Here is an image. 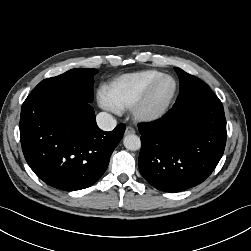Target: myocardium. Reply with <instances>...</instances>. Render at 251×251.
<instances>
[{
    "label": "myocardium",
    "instance_id": "1",
    "mask_svg": "<svg viewBox=\"0 0 251 251\" xmlns=\"http://www.w3.org/2000/svg\"><path fill=\"white\" fill-rule=\"evenodd\" d=\"M166 79H170L173 82L172 92L162 104L158 106H151L150 100L155 89L162 81ZM177 90H178V84L173 76L164 74L159 78L155 79L148 85V87L143 91V93L131 107L134 118L140 122H146V123L154 122L161 119L171 107L176 97Z\"/></svg>",
    "mask_w": 251,
    "mask_h": 251
}]
</instances>
